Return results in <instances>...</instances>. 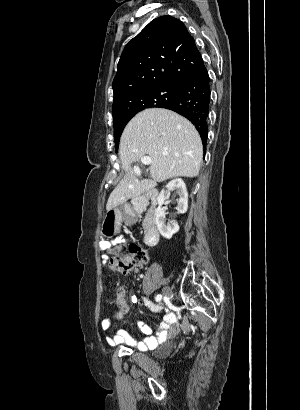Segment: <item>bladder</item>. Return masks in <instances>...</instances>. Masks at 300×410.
<instances>
[{
	"mask_svg": "<svg viewBox=\"0 0 300 410\" xmlns=\"http://www.w3.org/2000/svg\"><path fill=\"white\" fill-rule=\"evenodd\" d=\"M172 349H173V344L169 341H165L157 347L155 353L157 356L167 355L172 352Z\"/></svg>",
	"mask_w": 300,
	"mask_h": 410,
	"instance_id": "obj_1",
	"label": "bladder"
}]
</instances>
